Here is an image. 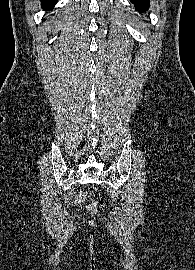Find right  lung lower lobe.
Returning a JSON list of instances; mask_svg holds the SVG:
<instances>
[{
    "mask_svg": "<svg viewBox=\"0 0 195 270\" xmlns=\"http://www.w3.org/2000/svg\"><path fill=\"white\" fill-rule=\"evenodd\" d=\"M58 0H41L42 2V8L44 9H51L54 7L55 3H57Z\"/></svg>",
    "mask_w": 195,
    "mask_h": 270,
    "instance_id": "right-lung-lower-lobe-1",
    "label": "right lung lower lobe"
}]
</instances>
